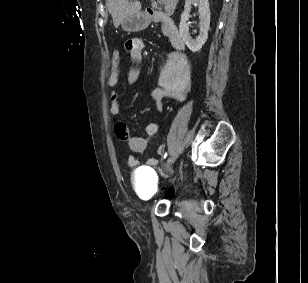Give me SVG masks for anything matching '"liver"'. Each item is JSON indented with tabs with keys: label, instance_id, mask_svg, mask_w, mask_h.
<instances>
[{
	"label": "liver",
	"instance_id": "liver-1",
	"mask_svg": "<svg viewBox=\"0 0 308 283\" xmlns=\"http://www.w3.org/2000/svg\"><path fill=\"white\" fill-rule=\"evenodd\" d=\"M161 2L165 4V11L170 15L174 13L179 0H161ZM106 4L115 27H118L125 18L140 13L141 10L139 1L106 0Z\"/></svg>",
	"mask_w": 308,
	"mask_h": 283
}]
</instances>
